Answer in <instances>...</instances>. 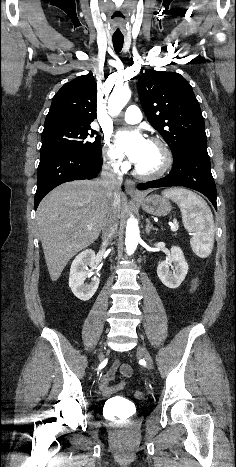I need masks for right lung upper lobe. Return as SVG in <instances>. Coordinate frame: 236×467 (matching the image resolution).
Masks as SVG:
<instances>
[{"mask_svg": "<svg viewBox=\"0 0 236 467\" xmlns=\"http://www.w3.org/2000/svg\"><path fill=\"white\" fill-rule=\"evenodd\" d=\"M97 84L92 75L66 83L52 99L44 128L58 125L86 126L96 118Z\"/></svg>", "mask_w": 236, "mask_h": 467, "instance_id": "cb5924a9", "label": "right lung upper lobe"}]
</instances>
